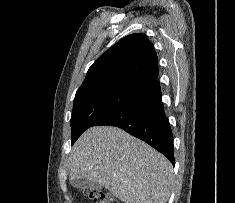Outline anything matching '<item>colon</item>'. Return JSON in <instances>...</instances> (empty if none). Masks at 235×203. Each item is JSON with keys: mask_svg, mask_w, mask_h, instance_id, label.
I'll return each instance as SVG.
<instances>
[{"mask_svg": "<svg viewBox=\"0 0 235 203\" xmlns=\"http://www.w3.org/2000/svg\"><path fill=\"white\" fill-rule=\"evenodd\" d=\"M93 203H119L109 192L95 189L85 191Z\"/></svg>", "mask_w": 235, "mask_h": 203, "instance_id": "1", "label": "colon"}]
</instances>
